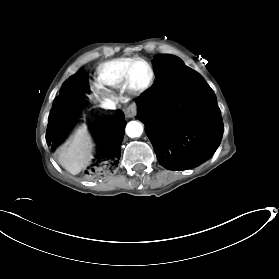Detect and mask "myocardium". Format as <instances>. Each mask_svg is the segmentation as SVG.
I'll return each mask as SVG.
<instances>
[{
  "mask_svg": "<svg viewBox=\"0 0 279 279\" xmlns=\"http://www.w3.org/2000/svg\"><path fill=\"white\" fill-rule=\"evenodd\" d=\"M138 62H142V63L146 64L149 69V79L144 85H141V86L135 85L131 79L132 68H133L134 64H136ZM154 81H155V71H154L152 64L148 60H146L144 58H140V57L132 58L130 60L129 64L126 67L125 75H124V85H125L126 90L130 94H132L134 96H140V95L146 93L153 86Z\"/></svg>",
  "mask_w": 279,
  "mask_h": 279,
  "instance_id": "1",
  "label": "myocardium"
}]
</instances>
